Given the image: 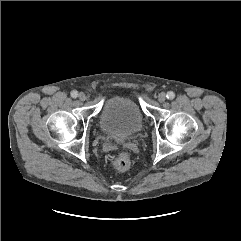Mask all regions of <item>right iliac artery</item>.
<instances>
[{
	"mask_svg": "<svg viewBox=\"0 0 241 241\" xmlns=\"http://www.w3.org/2000/svg\"><path fill=\"white\" fill-rule=\"evenodd\" d=\"M71 96H72L73 98H76V97L78 96V92H77L76 90H73V91L71 92Z\"/></svg>",
	"mask_w": 241,
	"mask_h": 241,
	"instance_id": "82829eb1",
	"label": "right iliac artery"
}]
</instances>
